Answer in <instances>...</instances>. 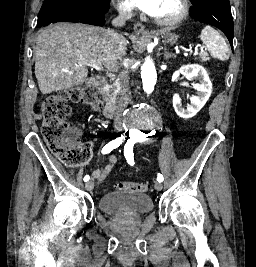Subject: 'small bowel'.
Wrapping results in <instances>:
<instances>
[{
	"instance_id": "small-bowel-1",
	"label": "small bowel",
	"mask_w": 256,
	"mask_h": 267,
	"mask_svg": "<svg viewBox=\"0 0 256 267\" xmlns=\"http://www.w3.org/2000/svg\"><path fill=\"white\" fill-rule=\"evenodd\" d=\"M117 161V156L111 153L108 155L107 164L93 171L92 176L97 180L98 184L102 183L107 178L113 167L116 165Z\"/></svg>"
}]
</instances>
